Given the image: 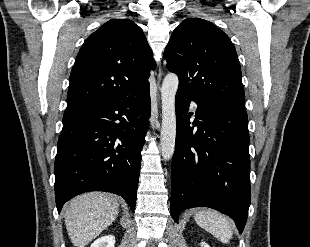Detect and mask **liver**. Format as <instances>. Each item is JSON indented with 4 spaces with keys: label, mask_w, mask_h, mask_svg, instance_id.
I'll return each instance as SVG.
<instances>
[{
    "label": "liver",
    "mask_w": 310,
    "mask_h": 247,
    "mask_svg": "<svg viewBox=\"0 0 310 247\" xmlns=\"http://www.w3.org/2000/svg\"><path fill=\"white\" fill-rule=\"evenodd\" d=\"M118 213V200L111 194L89 192L73 198L64 215L72 244L85 247L115 221Z\"/></svg>",
    "instance_id": "liver-1"
}]
</instances>
